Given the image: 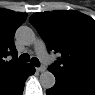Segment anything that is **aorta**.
Masks as SVG:
<instances>
[{"label":"aorta","instance_id":"1","mask_svg":"<svg viewBox=\"0 0 95 95\" xmlns=\"http://www.w3.org/2000/svg\"><path fill=\"white\" fill-rule=\"evenodd\" d=\"M16 38L24 45H31L35 41V33L30 27L21 26L16 31ZM55 82V76L50 71L41 73L40 83L44 89L52 88Z\"/></svg>","mask_w":95,"mask_h":95}]
</instances>
